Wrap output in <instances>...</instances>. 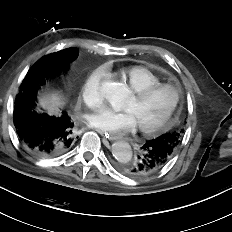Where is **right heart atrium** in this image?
Masks as SVG:
<instances>
[{"label":"right heart atrium","instance_id":"d8ad5b80","mask_svg":"<svg viewBox=\"0 0 232 232\" xmlns=\"http://www.w3.org/2000/svg\"><path fill=\"white\" fill-rule=\"evenodd\" d=\"M104 76L105 68H97L90 73L82 87V98L92 108L98 107L102 103V81Z\"/></svg>","mask_w":232,"mask_h":232}]
</instances>
